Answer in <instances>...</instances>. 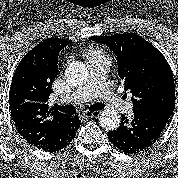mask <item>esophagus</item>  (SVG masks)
Masks as SVG:
<instances>
[{
  "label": "esophagus",
  "instance_id": "obj_1",
  "mask_svg": "<svg viewBox=\"0 0 178 178\" xmlns=\"http://www.w3.org/2000/svg\"><path fill=\"white\" fill-rule=\"evenodd\" d=\"M100 112L99 111H94V112H86V113H82L80 116L83 118H87V117H97L99 116Z\"/></svg>",
  "mask_w": 178,
  "mask_h": 178
}]
</instances>
